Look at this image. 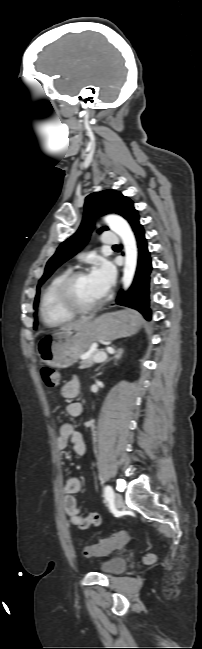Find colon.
<instances>
[{
  "label": "colon",
  "mask_w": 202,
  "mask_h": 649,
  "mask_svg": "<svg viewBox=\"0 0 202 649\" xmlns=\"http://www.w3.org/2000/svg\"><path fill=\"white\" fill-rule=\"evenodd\" d=\"M41 378L45 386L48 388H56L60 385V373L52 367H42L40 370ZM131 539V535L127 532H118L110 538L103 539L98 543L86 546L83 553L86 557L99 556L109 553L112 550L124 547ZM154 556L149 555L146 557L147 562H153Z\"/></svg>",
  "instance_id": "5ec220e1"
}]
</instances>
